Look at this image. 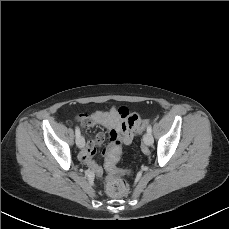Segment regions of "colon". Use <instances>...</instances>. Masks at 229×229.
<instances>
[{
	"label": "colon",
	"instance_id": "colon-1",
	"mask_svg": "<svg viewBox=\"0 0 229 229\" xmlns=\"http://www.w3.org/2000/svg\"><path fill=\"white\" fill-rule=\"evenodd\" d=\"M147 121L141 120L138 115H133L129 122L128 125L126 126V130L136 133L139 132L147 126ZM115 133L112 132L110 134V140L115 139ZM121 156V151H116L114 154V161H118ZM106 192L107 194L115 199L123 198L126 196L129 192V185L126 182L124 178L121 176H111L107 179V184H106Z\"/></svg>",
	"mask_w": 229,
	"mask_h": 229
}]
</instances>
